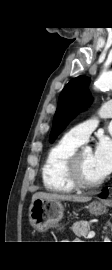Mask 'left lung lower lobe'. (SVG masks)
<instances>
[{
  "label": "left lung lower lobe",
  "mask_w": 112,
  "mask_h": 270,
  "mask_svg": "<svg viewBox=\"0 0 112 270\" xmlns=\"http://www.w3.org/2000/svg\"><path fill=\"white\" fill-rule=\"evenodd\" d=\"M107 195H108V191L105 190L104 192H102V193L100 194V197H101V198H106Z\"/></svg>",
  "instance_id": "1"
}]
</instances>
